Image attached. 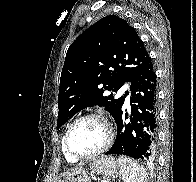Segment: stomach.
Wrapping results in <instances>:
<instances>
[{
	"mask_svg": "<svg viewBox=\"0 0 196 182\" xmlns=\"http://www.w3.org/2000/svg\"><path fill=\"white\" fill-rule=\"evenodd\" d=\"M90 170L97 175L115 177L119 171V165L113 157H100L90 164ZM59 182H91L90 174L85 168H80L71 173L64 174Z\"/></svg>",
	"mask_w": 196,
	"mask_h": 182,
	"instance_id": "1",
	"label": "stomach"
}]
</instances>
